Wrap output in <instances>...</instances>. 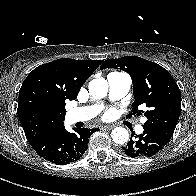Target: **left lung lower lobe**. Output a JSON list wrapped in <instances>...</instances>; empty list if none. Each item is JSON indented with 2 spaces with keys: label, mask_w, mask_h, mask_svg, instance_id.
Masks as SVG:
<instances>
[{
  "label": "left lung lower lobe",
  "mask_w": 196,
  "mask_h": 196,
  "mask_svg": "<svg viewBox=\"0 0 196 196\" xmlns=\"http://www.w3.org/2000/svg\"><path fill=\"white\" fill-rule=\"evenodd\" d=\"M143 128L142 134L133 136L127 145L122 146V152L127 156L132 158L151 157L162 150L169 142L153 129Z\"/></svg>",
  "instance_id": "left-lung-lower-lobe-1"
}]
</instances>
